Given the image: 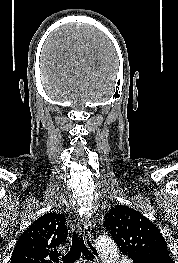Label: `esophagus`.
Returning <instances> with one entry per match:
<instances>
[{"label":"esophagus","mask_w":178,"mask_h":263,"mask_svg":"<svg viewBox=\"0 0 178 263\" xmlns=\"http://www.w3.org/2000/svg\"><path fill=\"white\" fill-rule=\"evenodd\" d=\"M90 223L89 219L86 216H81L78 219L77 222V232L79 234H82L83 237L85 238L86 245L89 249V251L93 254L94 256V263H99V252L97 248L94 246V244L91 241L90 235H89V225Z\"/></svg>","instance_id":"1"}]
</instances>
